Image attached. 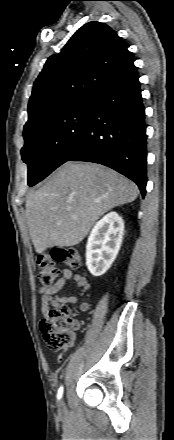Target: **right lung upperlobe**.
I'll use <instances>...</instances> for the list:
<instances>
[{
  "mask_svg": "<svg viewBox=\"0 0 174 440\" xmlns=\"http://www.w3.org/2000/svg\"><path fill=\"white\" fill-rule=\"evenodd\" d=\"M133 65L121 38L105 23L79 28L59 54L52 55L33 85L24 129L73 102Z\"/></svg>",
  "mask_w": 174,
  "mask_h": 440,
  "instance_id": "cb5924a9",
  "label": "right lung upper lobe"
}]
</instances>
